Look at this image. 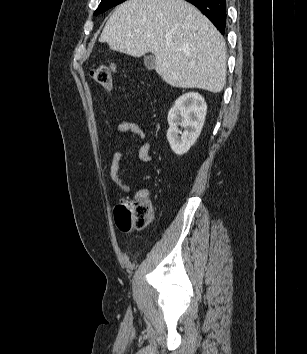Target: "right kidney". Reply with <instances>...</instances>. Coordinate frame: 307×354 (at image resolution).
Here are the masks:
<instances>
[{
	"mask_svg": "<svg viewBox=\"0 0 307 354\" xmlns=\"http://www.w3.org/2000/svg\"><path fill=\"white\" fill-rule=\"evenodd\" d=\"M206 110V102L199 93H185L175 101L167 117V139L175 154H185L195 143L202 130ZM178 126L185 128L181 136Z\"/></svg>",
	"mask_w": 307,
	"mask_h": 354,
	"instance_id": "right-kidney-1",
	"label": "right kidney"
}]
</instances>
